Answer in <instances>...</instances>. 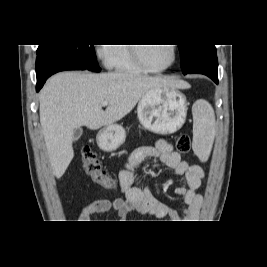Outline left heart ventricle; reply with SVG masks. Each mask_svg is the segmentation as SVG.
<instances>
[{
    "label": "left heart ventricle",
    "instance_id": "b2bd125f",
    "mask_svg": "<svg viewBox=\"0 0 267 267\" xmlns=\"http://www.w3.org/2000/svg\"><path fill=\"white\" fill-rule=\"evenodd\" d=\"M143 60L153 68H160L170 63L172 49L170 44L140 47Z\"/></svg>",
    "mask_w": 267,
    "mask_h": 267
}]
</instances>
